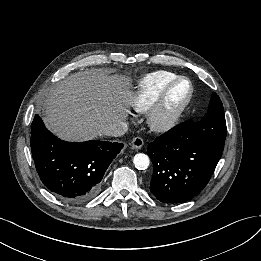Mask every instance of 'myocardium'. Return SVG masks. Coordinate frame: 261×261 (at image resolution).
Listing matches in <instances>:
<instances>
[{"mask_svg":"<svg viewBox=\"0 0 261 261\" xmlns=\"http://www.w3.org/2000/svg\"><path fill=\"white\" fill-rule=\"evenodd\" d=\"M181 81H186L189 85L188 94L182 103L172 111L168 110V101L173 89ZM193 85L190 78L186 76H178L172 80L162 91L158 100L149 111L148 114V125L150 129L157 133H164L172 130L178 125L184 112L189 106L193 97Z\"/></svg>","mask_w":261,"mask_h":261,"instance_id":"f54148a6","label":"myocardium"}]
</instances>
